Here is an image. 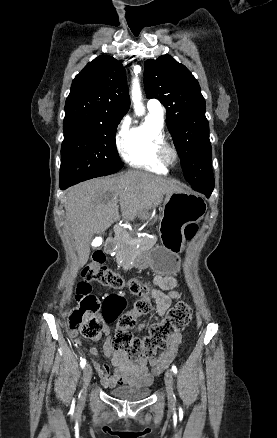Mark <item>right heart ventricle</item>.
Here are the masks:
<instances>
[{"label":"right heart ventricle","instance_id":"right-heart-ventricle-1","mask_svg":"<svg viewBox=\"0 0 277 438\" xmlns=\"http://www.w3.org/2000/svg\"><path fill=\"white\" fill-rule=\"evenodd\" d=\"M166 141L163 119L146 114L141 123L130 125L121 142L122 157L130 166L157 174H167L157 156L158 147Z\"/></svg>","mask_w":277,"mask_h":438}]
</instances>
